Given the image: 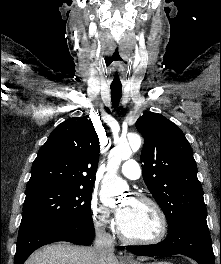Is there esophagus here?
I'll list each match as a JSON object with an SVG mask.
<instances>
[{"label":"esophagus","mask_w":221,"mask_h":264,"mask_svg":"<svg viewBox=\"0 0 221 264\" xmlns=\"http://www.w3.org/2000/svg\"><path fill=\"white\" fill-rule=\"evenodd\" d=\"M121 260L129 262L132 260V257L125 250H123L121 252Z\"/></svg>","instance_id":"esophagus-1"}]
</instances>
